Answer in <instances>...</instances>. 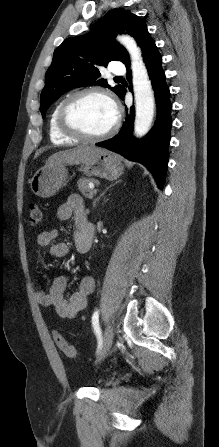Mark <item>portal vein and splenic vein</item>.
Here are the masks:
<instances>
[{"mask_svg": "<svg viewBox=\"0 0 219 447\" xmlns=\"http://www.w3.org/2000/svg\"><path fill=\"white\" fill-rule=\"evenodd\" d=\"M89 188L93 189L94 193H97V190L94 189V184L93 183H89Z\"/></svg>", "mask_w": 219, "mask_h": 447, "instance_id": "1", "label": "portal vein and splenic vein"}]
</instances>
